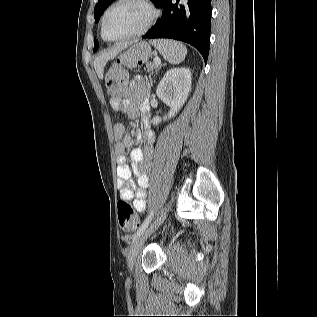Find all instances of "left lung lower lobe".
Instances as JSON below:
<instances>
[{
  "label": "left lung lower lobe",
  "mask_w": 317,
  "mask_h": 317,
  "mask_svg": "<svg viewBox=\"0 0 317 317\" xmlns=\"http://www.w3.org/2000/svg\"><path fill=\"white\" fill-rule=\"evenodd\" d=\"M162 17L143 38H171L194 46L207 61L211 0H164Z\"/></svg>",
  "instance_id": "1"
}]
</instances>
